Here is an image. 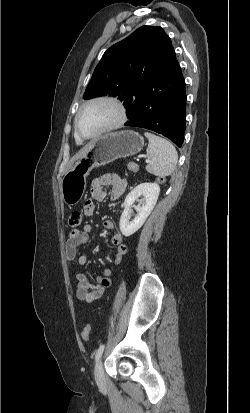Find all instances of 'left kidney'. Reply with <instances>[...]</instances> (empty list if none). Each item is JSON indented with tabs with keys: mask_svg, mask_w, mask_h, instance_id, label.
<instances>
[{
	"mask_svg": "<svg viewBox=\"0 0 250 413\" xmlns=\"http://www.w3.org/2000/svg\"><path fill=\"white\" fill-rule=\"evenodd\" d=\"M159 193L160 187L157 183H142L126 196L119 222L120 231L125 237L131 236L142 227L156 205ZM140 196H143V199L141 204L136 206L137 215L134 220L129 221V209Z\"/></svg>",
	"mask_w": 250,
	"mask_h": 413,
	"instance_id": "5707ae66",
	"label": "left kidney"
}]
</instances>
